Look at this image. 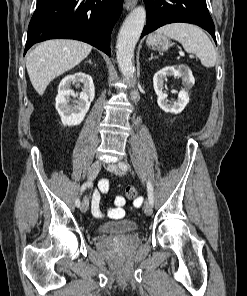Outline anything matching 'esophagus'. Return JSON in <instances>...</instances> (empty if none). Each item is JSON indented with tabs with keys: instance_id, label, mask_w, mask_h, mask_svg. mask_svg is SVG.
Returning a JSON list of instances; mask_svg holds the SVG:
<instances>
[{
	"instance_id": "1",
	"label": "esophagus",
	"mask_w": 247,
	"mask_h": 296,
	"mask_svg": "<svg viewBox=\"0 0 247 296\" xmlns=\"http://www.w3.org/2000/svg\"><path fill=\"white\" fill-rule=\"evenodd\" d=\"M125 2V8L127 10H131L137 3V0H124Z\"/></svg>"
}]
</instances>
